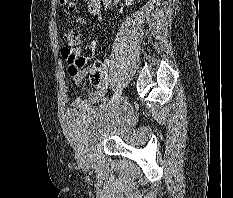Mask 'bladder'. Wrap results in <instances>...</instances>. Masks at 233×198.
I'll return each instance as SVG.
<instances>
[{
  "mask_svg": "<svg viewBox=\"0 0 233 198\" xmlns=\"http://www.w3.org/2000/svg\"><path fill=\"white\" fill-rule=\"evenodd\" d=\"M130 118L128 113L101 106L89 113L69 112L64 127L77 150L88 152L104 137L121 133Z\"/></svg>",
  "mask_w": 233,
  "mask_h": 198,
  "instance_id": "bladder-1",
  "label": "bladder"
}]
</instances>
